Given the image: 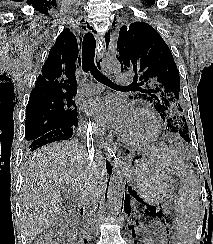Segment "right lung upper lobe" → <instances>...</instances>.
Here are the masks:
<instances>
[{
    "instance_id": "cb5924a9",
    "label": "right lung upper lobe",
    "mask_w": 213,
    "mask_h": 244,
    "mask_svg": "<svg viewBox=\"0 0 213 244\" xmlns=\"http://www.w3.org/2000/svg\"><path fill=\"white\" fill-rule=\"evenodd\" d=\"M77 58V39L69 29H65L51 48L42 67V74L38 76L35 88L31 91L30 98L47 95H76Z\"/></svg>"
}]
</instances>
